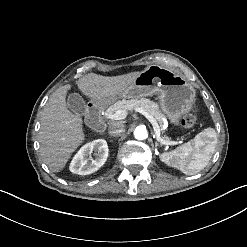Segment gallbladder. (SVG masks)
I'll return each instance as SVG.
<instances>
[{
  "label": "gallbladder",
  "mask_w": 247,
  "mask_h": 247,
  "mask_svg": "<svg viewBox=\"0 0 247 247\" xmlns=\"http://www.w3.org/2000/svg\"><path fill=\"white\" fill-rule=\"evenodd\" d=\"M68 106L70 111L75 112L78 115L84 114L85 112V104L82 97L79 94H71L68 97Z\"/></svg>",
  "instance_id": "obj_1"
}]
</instances>
